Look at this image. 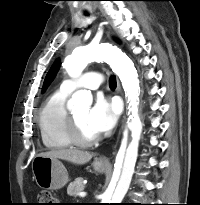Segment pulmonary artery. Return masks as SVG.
I'll use <instances>...</instances> for the list:
<instances>
[{"label":"pulmonary artery","instance_id":"e3ab8cb5","mask_svg":"<svg viewBox=\"0 0 200 205\" xmlns=\"http://www.w3.org/2000/svg\"><path fill=\"white\" fill-rule=\"evenodd\" d=\"M102 82H103V77L100 73L87 72L77 80L68 79L63 81L60 89H62L63 91L69 94L79 88H87V89L95 90L99 88Z\"/></svg>","mask_w":200,"mask_h":205}]
</instances>
